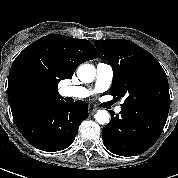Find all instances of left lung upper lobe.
<instances>
[{"label": "left lung upper lobe", "mask_w": 178, "mask_h": 178, "mask_svg": "<svg viewBox=\"0 0 178 178\" xmlns=\"http://www.w3.org/2000/svg\"><path fill=\"white\" fill-rule=\"evenodd\" d=\"M94 44L113 69L110 94L116 99L125 97L121 110L164 126L170 108L169 85L157 59L125 39Z\"/></svg>", "instance_id": "1"}]
</instances>
